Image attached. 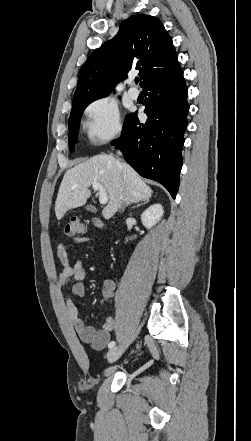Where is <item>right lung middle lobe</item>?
<instances>
[{
  "label": "right lung middle lobe",
  "instance_id": "1",
  "mask_svg": "<svg viewBox=\"0 0 251 441\" xmlns=\"http://www.w3.org/2000/svg\"><path fill=\"white\" fill-rule=\"evenodd\" d=\"M99 98H83L73 101L72 110L69 118V149L74 150V143L77 142V136L80 126V119L85 108L93 101ZM129 117V116H128ZM127 117V118H128ZM126 118V119H127Z\"/></svg>",
  "mask_w": 251,
  "mask_h": 441
}]
</instances>
